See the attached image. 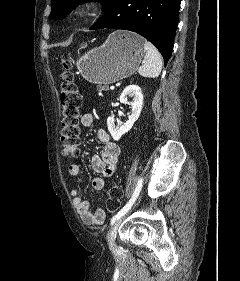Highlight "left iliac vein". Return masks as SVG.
Returning a JSON list of instances; mask_svg holds the SVG:
<instances>
[{
  "mask_svg": "<svg viewBox=\"0 0 240 281\" xmlns=\"http://www.w3.org/2000/svg\"><path fill=\"white\" fill-rule=\"evenodd\" d=\"M124 218H125V215L121 216L118 220H116L112 224L110 231L107 235V241H108L109 247L113 252L116 251L115 239H116L117 230Z\"/></svg>",
  "mask_w": 240,
  "mask_h": 281,
  "instance_id": "left-iliac-vein-1",
  "label": "left iliac vein"
}]
</instances>
